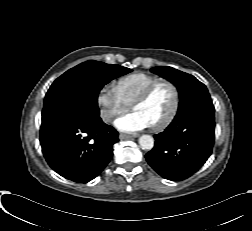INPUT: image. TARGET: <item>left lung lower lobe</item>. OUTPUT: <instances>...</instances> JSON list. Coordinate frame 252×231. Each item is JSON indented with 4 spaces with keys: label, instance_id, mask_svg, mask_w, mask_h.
I'll return each instance as SVG.
<instances>
[{
    "label": "left lung lower lobe",
    "instance_id": "1",
    "mask_svg": "<svg viewBox=\"0 0 252 231\" xmlns=\"http://www.w3.org/2000/svg\"><path fill=\"white\" fill-rule=\"evenodd\" d=\"M214 112L212 102L192 103L178 110L171 124L154 135L155 146L146 154L149 165L173 181L197 172L212 153Z\"/></svg>",
    "mask_w": 252,
    "mask_h": 231
}]
</instances>
